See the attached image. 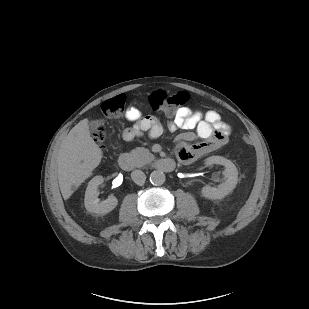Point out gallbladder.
<instances>
[{"label":"gallbladder","mask_w":309,"mask_h":309,"mask_svg":"<svg viewBox=\"0 0 309 309\" xmlns=\"http://www.w3.org/2000/svg\"><path fill=\"white\" fill-rule=\"evenodd\" d=\"M99 126L100 122L98 120H92L89 122V128L92 132H96Z\"/></svg>","instance_id":"1"}]
</instances>
